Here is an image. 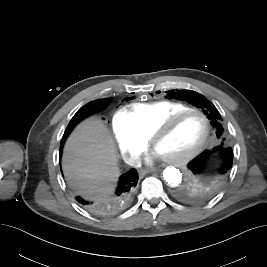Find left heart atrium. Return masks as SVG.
Returning <instances> with one entry per match:
<instances>
[{
  "mask_svg": "<svg viewBox=\"0 0 267 267\" xmlns=\"http://www.w3.org/2000/svg\"><path fill=\"white\" fill-rule=\"evenodd\" d=\"M163 157L157 150L152 152V158H161Z\"/></svg>",
  "mask_w": 267,
  "mask_h": 267,
  "instance_id": "left-heart-atrium-1",
  "label": "left heart atrium"
}]
</instances>
